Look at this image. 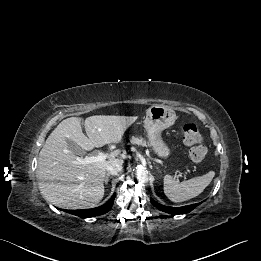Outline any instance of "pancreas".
Instances as JSON below:
<instances>
[{"label":"pancreas","mask_w":261,"mask_h":261,"mask_svg":"<svg viewBox=\"0 0 261 261\" xmlns=\"http://www.w3.org/2000/svg\"><path fill=\"white\" fill-rule=\"evenodd\" d=\"M131 144L133 145H142V146H147L149 143L142 137H136L132 136L130 139Z\"/></svg>","instance_id":"cf45deb5"}]
</instances>
